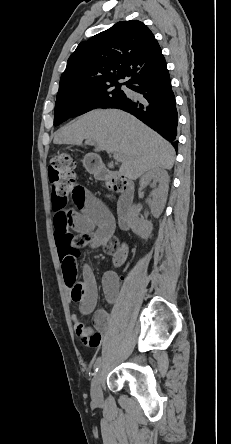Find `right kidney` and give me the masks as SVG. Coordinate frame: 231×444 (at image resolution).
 <instances>
[{"label": "right kidney", "mask_w": 231, "mask_h": 444, "mask_svg": "<svg viewBox=\"0 0 231 444\" xmlns=\"http://www.w3.org/2000/svg\"><path fill=\"white\" fill-rule=\"evenodd\" d=\"M151 181H153L151 183ZM140 187L150 185L155 188L150 199V209L154 217L158 218L162 213L168 195L169 176L163 169H154L145 173L140 179ZM140 209L133 206L130 212V226L132 231L141 238H148L153 230V224L139 217Z\"/></svg>", "instance_id": "right-kidney-1"}]
</instances>
